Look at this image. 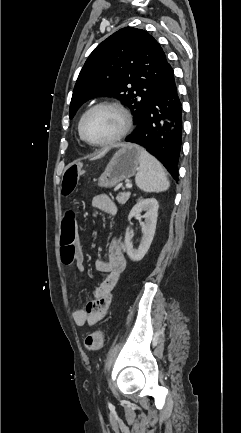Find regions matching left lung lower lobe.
<instances>
[{
    "mask_svg": "<svg viewBox=\"0 0 241 433\" xmlns=\"http://www.w3.org/2000/svg\"><path fill=\"white\" fill-rule=\"evenodd\" d=\"M155 156L178 180L182 145V106L170 66L160 89L144 109L135 131L126 138Z\"/></svg>",
    "mask_w": 241,
    "mask_h": 433,
    "instance_id": "left-lung-lower-lobe-1",
    "label": "left lung lower lobe"
}]
</instances>
